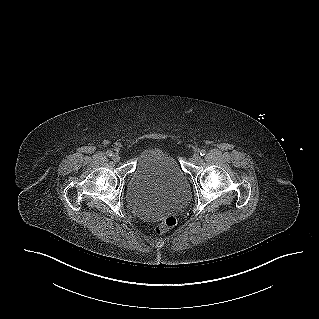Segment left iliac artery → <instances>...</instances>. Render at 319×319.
<instances>
[{
  "mask_svg": "<svg viewBox=\"0 0 319 319\" xmlns=\"http://www.w3.org/2000/svg\"><path fill=\"white\" fill-rule=\"evenodd\" d=\"M205 154H206V151L204 149L200 151L201 156H204Z\"/></svg>",
  "mask_w": 319,
  "mask_h": 319,
  "instance_id": "obj_1",
  "label": "left iliac artery"
}]
</instances>
